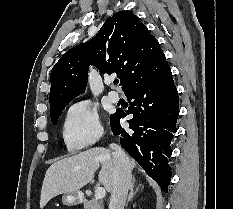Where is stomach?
Instances as JSON below:
<instances>
[{
    "instance_id": "stomach-1",
    "label": "stomach",
    "mask_w": 233,
    "mask_h": 209,
    "mask_svg": "<svg viewBox=\"0 0 233 209\" xmlns=\"http://www.w3.org/2000/svg\"><path fill=\"white\" fill-rule=\"evenodd\" d=\"M82 195L79 192L65 193L62 202L66 206H75L80 203Z\"/></svg>"
}]
</instances>
